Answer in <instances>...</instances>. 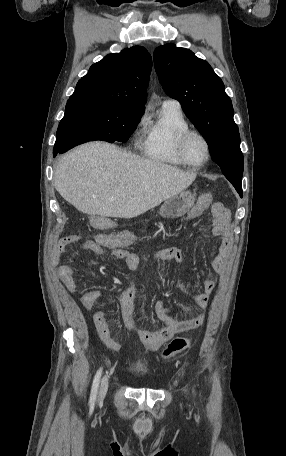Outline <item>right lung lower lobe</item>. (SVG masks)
Segmentation results:
<instances>
[{"label":"right lung lower lobe","mask_w":286,"mask_h":456,"mask_svg":"<svg viewBox=\"0 0 286 456\" xmlns=\"http://www.w3.org/2000/svg\"><path fill=\"white\" fill-rule=\"evenodd\" d=\"M57 153H60V152L57 149H54L53 156L55 157L57 155Z\"/></svg>","instance_id":"98d812e1"}]
</instances>
